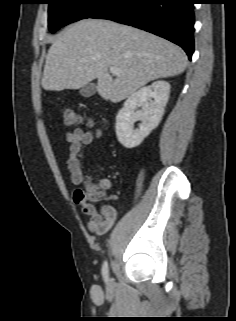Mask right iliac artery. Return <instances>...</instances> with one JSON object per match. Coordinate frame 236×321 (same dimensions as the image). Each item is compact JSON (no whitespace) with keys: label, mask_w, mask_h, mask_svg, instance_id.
I'll use <instances>...</instances> for the list:
<instances>
[{"label":"right iliac artery","mask_w":236,"mask_h":321,"mask_svg":"<svg viewBox=\"0 0 236 321\" xmlns=\"http://www.w3.org/2000/svg\"><path fill=\"white\" fill-rule=\"evenodd\" d=\"M102 275L105 280V282L108 281V263L105 261L102 266Z\"/></svg>","instance_id":"82829eb1"}]
</instances>
